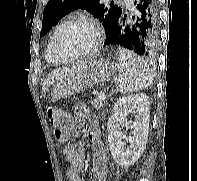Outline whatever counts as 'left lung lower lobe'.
<instances>
[{
    "mask_svg": "<svg viewBox=\"0 0 197 181\" xmlns=\"http://www.w3.org/2000/svg\"><path fill=\"white\" fill-rule=\"evenodd\" d=\"M131 22L122 14L106 32L105 46H119L143 57H153L158 48V0H135Z\"/></svg>",
    "mask_w": 197,
    "mask_h": 181,
    "instance_id": "0a47b994",
    "label": "left lung lower lobe"
}]
</instances>
